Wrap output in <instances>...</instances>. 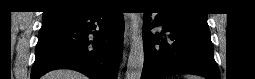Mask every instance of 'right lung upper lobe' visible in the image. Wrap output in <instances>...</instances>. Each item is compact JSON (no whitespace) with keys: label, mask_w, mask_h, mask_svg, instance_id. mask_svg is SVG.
<instances>
[{"label":"right lung upper lobe","mask_w":255,"mask_h":79,"mask_svg":"<svg viewBox=\"0 0 255 79\" xmlns=\"http://www.w3.org/2000/svg\"><path fill=\"white\" fill-rule=\"evenodd\" d=\"M96 4H88L83 1H74V0H58L50 4L48 11H46L44 17L59 14L63 12H68L71 10H83V9H94L97 8Z\"/></svg>","instance_id":"right-lung-upper-lobe-1"}]
</instances>
